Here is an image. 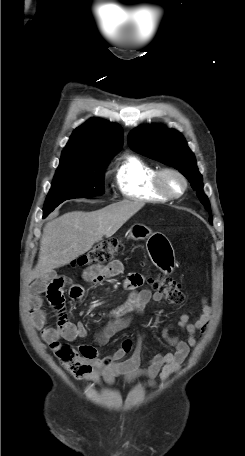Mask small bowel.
Wrapping results in <instances>:
<instances>
[{"label":"small bowel","instance_id":"obj_1","mask_svg":"<svg viewBox=\"0 0 245 456\" xmlns=\"http://www.w3.org/2000/svg\"><path fill=\"white\" fill-rule=\"evenodd\" d=\"M124 267L121 261L113 260L105 265H92L83 273V279L89 284L96 285L103 280L121 275ZM66 280L62 276L47 274L34 281L30 287V301L28 304L29 314L33 326L41 331V336L46 343L51 344L59 339L74 341L84 338L87 330L82 322H70L65 314V302L62 289ZM144 283V277L140 273L129 274L123 282L126 289L131 291L128 300L112 311L110 321L98 332L97 342L105 343L115 333L130 326V315L140 313L150 302H160L163 299L161 292H152L150 289L138 288ZM46 292L50 304L59 312L57 327L45 328L47 314L42 309L41 294ZM85 293L82 285L71 286L69 295L73 300H80ZM201 312L196 321L192 322L188 314H182L177 326L187 334L186 339H180L171 335L169 329H165L163 336L172 346V351L156 352L146 368L141 367L142 336H138L136 343L131 339L122 342L119 349L112 355L99 358L95 347L81 345L79 350L84 353V361L90 366V370L82 376L85 382L97 385L102 383L113 384L117 377H125L132 381L139 377H145L147 385L154 387L155 378L166 380L170 375L177 372L190 349L197 343L196 334H204L208 328L212 315V306L205 297L201 300ZM88 351V352H86ZM131 353L125 359V356Z\"/></svg>","mask_w":245,"mask_h":456}]
</instances>
